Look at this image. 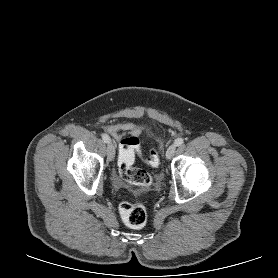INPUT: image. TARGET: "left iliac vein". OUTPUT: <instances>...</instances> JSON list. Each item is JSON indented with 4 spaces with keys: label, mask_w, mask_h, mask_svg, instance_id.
I'll return each mask as SVG.
<instances>
[{
    "label": "left iliac vein",
    "mask_w": 278,
    "mask_h": 278,
    "mask_svg": "<svg viewBox=\"0 0 278 278\" xmlns=\"http://www.w3.org/2000/svg\"><path fill=\"white\" fill-rule=\"evenodd\" d=\"M175 150H176V145L175 144L170 145L166 151V158L171 159L175 153Z\"/></svg>",
    "instance_id": "1"
}]
</instances>
